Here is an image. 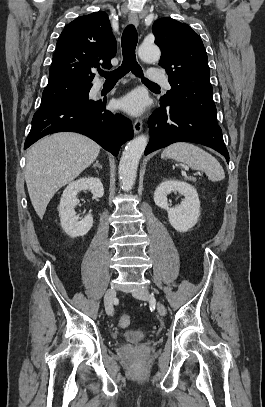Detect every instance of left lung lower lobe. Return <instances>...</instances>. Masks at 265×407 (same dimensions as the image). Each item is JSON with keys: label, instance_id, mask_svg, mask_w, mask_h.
<instances>
[{"label": "left lung lower lobe", "instance_id": "left-lung-lower-lobe-1", "mask_svg": "<svg viewBox=\"0 0 265 407\" xmlns=\"http://www.w3.org/2000/svg\"><path fill=\"white\" fill-rule=\"evenodd\" d=\"M148 125L150 142L145 155L172 143L185 141L211 147L229 163V154L217 121L186 108L161 105L150 116Z\"/></svg>", "mask_w": 265, "mask_h": 407}]
</instances>
